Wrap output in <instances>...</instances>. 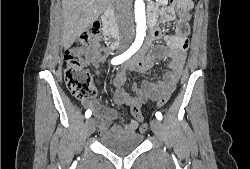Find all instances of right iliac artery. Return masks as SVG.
I'll list each match as a JSON object with an SVG mask.
<instances>
[{
    "mask_svg": "<svg viewBox=\"0 0 250 169\" xmlns=\"http://www.w3.org/2000/svg\"><path fill=\"white\" fill-rule=\"evenodd\" d=\"M137 51V49L135 48H130L128 51H126L125 53L117 56V57H114L112 60H111V64L113 65H118V64H121L122 62L126 61L128 58H130L135 52ZM92 112L91 110H87L85 112V117L86 118H89L91 116Z\"/></svg>",
    "mask_w": 250,
    "mask_h": 169,
    "instance_id": "obj_1",
    "label": "right iliac artery"
}]
</instances>
